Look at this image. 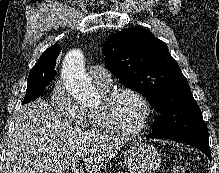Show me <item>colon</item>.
I'll list each match as a JSON object with an SVG mask.
<instances>
[{"label":"colon","mask_w":219,"mask_h":173,"mask_svg":"<svg viewBox=\"0 0 219 173\" xmlns=\"http://www.w3.org/2000/svg\"><path fill=\"white\" fill-rule=\"evenodd\" d=\"M172 173H190L184 166L177 165L173 168Z\"/></svg>","instance_id":"5ec220e1"}]
</instances>
